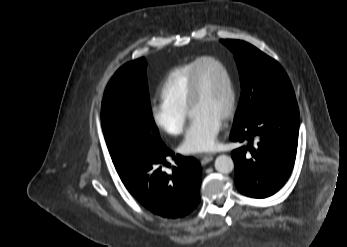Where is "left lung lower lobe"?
Here are the masks:
<instances>
[{"label": "left lung lower lobe", "mask_w": 347, "mask_h": 247, "mask_svg": "<svg viewBox=\"0 0 347 247\" xmlns=\"http://www.w3.org/2000/svg\"><path fill=\"white\" fill-rule=\"evenodd\" d=\"M298 132L296 98L269 102L233 126L231 141L245 143L232 152L234 180L242 194L265 198L285 184L294 166Z\"/></svg>", "instance_id": "left-lung-lower-lobe-1"}]
</instances>
